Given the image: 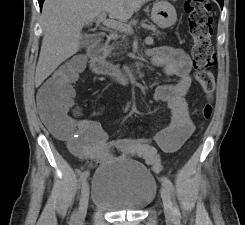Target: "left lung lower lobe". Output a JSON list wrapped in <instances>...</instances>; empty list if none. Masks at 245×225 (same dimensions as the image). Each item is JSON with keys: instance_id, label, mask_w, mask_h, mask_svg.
Instances as JSON below:
<instances>
[{"instance_id": "1", "label": "left lung lower lobe", "mask_w": 245, "mask_h": 225, "mask_svg": "<svg viewBox=\"0 0 245 225\" xmlns=\"http://www.w3.org/2000/svg\"><path fill=\"white\" fill-rule=\"evenodd\" d=\"M217 1L219 2L221 8H223V2H224V0H217Z\"/></svg>"}]
</instances>
